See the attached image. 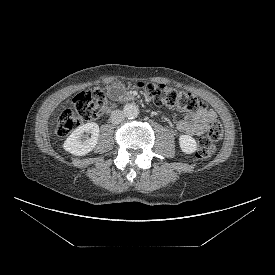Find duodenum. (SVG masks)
<instances>
[{"label": "duodenum", "instance_id": "410a0bca", "mask_svg": "<svg viewBox=\"0 0 275 275\" xmlns=\"http://www.w3.org/2000/svg\"><path fill=\"white\" fill-rule=\"evenodd\" d=\"M124 100L125 101H131V100H133V98L131 96H128V97L124 98Z\"/></svg>", "mask_w": 275, "mask_h": 275}]
</instances>
